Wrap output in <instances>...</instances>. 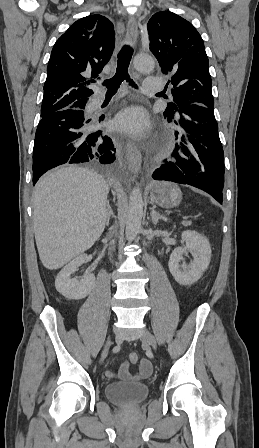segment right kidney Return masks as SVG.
Wrapping results in <instances>:
<instances>
[{"label":"right kidney","mask_w":259,"mask_h":448,"mask_svg":"<svg viewBox=\"0 0 259 448\" xmlns=\"http://www.w3.org/2000/svg\"><path fill=\"white\" fill-rule=\"evenodd\" d=\"M87 258V254H81L75 260H72L70 264H67L61 272H59L56 280H55V288L59 294L68 298V300H82V298H86L89 296L91 290H93V286H95V276L94 274H88V276H84L83 280H70V274L76 272L79 266L84 264Z\"/></svg>","instance_id":"ca27d5eb"}]
</instances>
